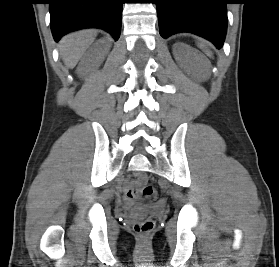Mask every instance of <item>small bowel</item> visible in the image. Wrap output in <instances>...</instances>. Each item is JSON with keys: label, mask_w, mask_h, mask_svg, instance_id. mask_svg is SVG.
<instances>
[{"label": "small bowel", "mask_w": 279, "mask_h": 267, "mask_svg": "<svg viewBox=\"0 0 279 267\" xmlns=\"http://www.w3.org/2000/svg\"><path fill=\"white\" fill-rule=\"evenodd\" d=\"M138 187L137 181H132L127 187H126V191H127V197L129 199L134 198L137 194L134 192V190H136Z\"/></svg>", "instance_id": "1"}]
</instances>
